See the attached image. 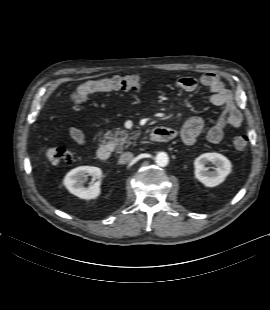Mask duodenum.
<instances>
[{
  "mask_svg": "<svg viewBox=\"0 0 270 310\" xmlns=\"http://www.w3.org/2000/svg\"><path fill=\"white\" fill-rule=\"evenodd\" d=\"M175 137V130L164 126L155 127L150 133V139L152 141H169ZM110 155L111 150L107 145H100L96 150V156L99 160H108Z\"/></svg>",
  "mask_w": 270,
  "mask_h": 310,
  "instance_id": "duodenum-1",
  "label": "duodenum"
}]
</instances>
